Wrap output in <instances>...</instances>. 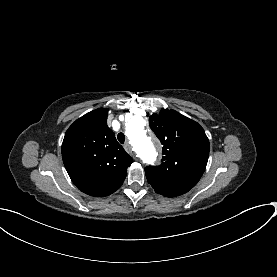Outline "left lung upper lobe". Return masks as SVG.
Returning <instances> with one entry per match:
<instances>
[{
	"instance_id": "left-lung-upper-lobe-1",
	"label": "left lung upper lobe",
	"mask_w": 277,
	"mask_h": 277,
	"mask_svg": "<svg viewBox=\"0 0 277 277\" xmlns=\"http://www.w3.org/2000/svg\"><path fill=\"white\" fill-rule=\"evenodd\" d=\"M163 145V163L145 168L148 183L165 197L187 193L201 178L208 161L209 140L203 128L180 113L162 109L149 118Z\"/></svg>"
}]
</instances>
